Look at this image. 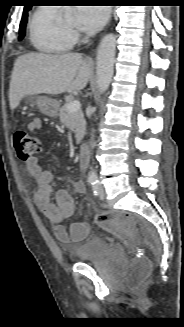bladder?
I'll use <instances>...</instances> for the list:
<instances>
[{
  "label": "bladder",
  "mask_w": 184,
  "mask_h": 327,
  "mask_svg": "<svg viewBox=\"0 0 184 327\" xmlns=\"http://www.w3.org/2000/svg\"><path fill=\"white\" fill-rule=\"evenodd\" d=\"M78 262L94 264L100 259L109 256L117 261L120 268L126 269L129 265L123 254L116 250L102 235H92L84 242L69 246Z\"/></svg>",
  "instance_id": "1"
}]
</instances>
